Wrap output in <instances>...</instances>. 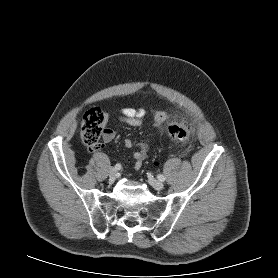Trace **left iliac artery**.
<instances>
[{
	"label": "left iliac artery",
	"mask_w": 278,
	"mask_h": 278,
	"mask_svg": "<svg viewBox=\"0 0 278 278\" xmlns=\"http://www.w3.org/2000/svg\"><path fill=\"white\" fill-rule=\"evenodd\" d=\"M158 179H159L160 181H165L166 178H165V176L159 174V175H158Z\"/></svg>",
	"instance_id": "obj_1"
}]
</instances>
